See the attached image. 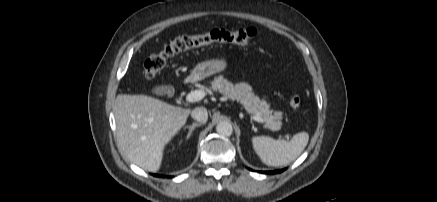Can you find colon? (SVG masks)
<instances>
[{"label":"colon","mask_w":437,"mask_h":202,"mask_svg":"<svg viewBox=\"0 0 437 202\" xmlns=\"http://www.w3.org/2000/svg\"><path fill=\"white\" fill-rule=\"evenodd\" d=\"M257 35L255 29L227 30L216 28L196 35H185L171 39L156 53L150 55L143 64L145 77L154 78L165 67L167 60L186 50L201 47L213 43L239 44L250 43ZM302 100L298 95L289 97V105L293 109L301 106Z\"/></svg>","instance_id":"5ec220e1"}]
</instances>
